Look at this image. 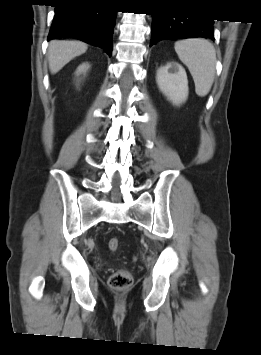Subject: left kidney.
<instances>
[{"label":"left kidney","mask_w":261,"mask_h":355,"mask_svg":"<svg viewBox=\"0 0 261 355\" xmlns=\"http://www.w3.org/2000/svg\"><path fill=\"white\" fill-rule=\"evenodd\" d=\"M156 81L159 89L175 105L185 102L188 97V80L184 68L178 63H168L157 70Z\"/></svg>","instance_id":"5707ae66"}]
</instances>
